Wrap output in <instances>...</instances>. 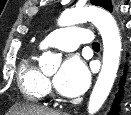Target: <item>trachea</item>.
<instances>
[{"mask_svg":"<svg viewBox=\"0 0 131 115\" xmlns=\"http://www.w3.org/2000/svg\"><path fill=\"white\" fill-rule=\"evenodd\" d=\"M92 48H93V49H100V44H99L98 42H94V43L92 44Z\"/></svg>","mask_w":131,"mask_h":115,"instance_id":"obj_1","label":"trachea"}]
</instances>
